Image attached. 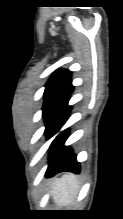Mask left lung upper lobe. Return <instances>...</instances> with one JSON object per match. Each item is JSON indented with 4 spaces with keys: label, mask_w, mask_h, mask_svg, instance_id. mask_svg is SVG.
<instances>
[{
    "label": "left lung upper lobe",
    "mask_w": 123,
    "mask_h": 219,
    "mask_svg": "<svg viewBox=\"0 0 123 219\" xmlns=\"http://www.w3.org/2000/svg\"><path fill=\"white\" fill-rule=\"evenodd\" d=\"M71 71L62 69L48 80L44 91L43 117L47 122L52 114L68 99L73 91Z\"/></svg>",
    "instance_id": "5c2ea615"
}]
</instances>
